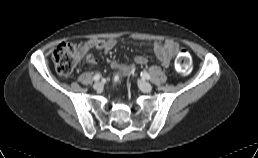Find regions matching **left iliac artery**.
<instances>
[{"label":"left iliac artery","instance_id":"obj_1","mask_svg":"<svg viewBox=\"0 0 258 158\" xmlns=\"http://www.w3.org/2000/svg\"><path fill=\"white\" fill-rule=\"evenodd\" d=\"M141 76L143 78H146L147 80H150V75L147 72H145V71L141 72Z\"/></svg>","mask_w":258,"mask_h":158}]
</instances>
